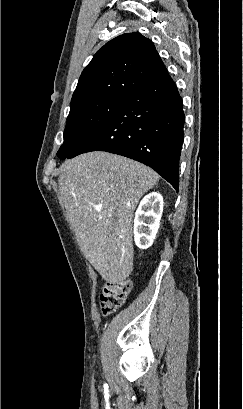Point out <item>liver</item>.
<instances>
[{"label":"liver","instance_id":"1","mask_svg":"<svg viewBox=\"0 0 243 409\" xmlns=\"http://www.w3.org/2000/svg\"><path fill=\"white\" fill-rule=\"evenodd\" d=\"M151 168L103 151L66 160L59 189L79 246L109 282L133 270L132 219L140 198L158 182Z\"/></svg>","mask_w":243,"mask_h":409}]
</instances>
